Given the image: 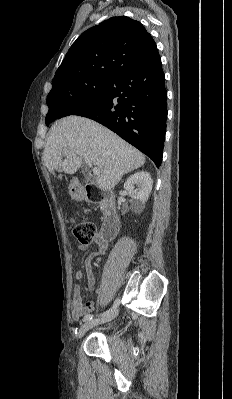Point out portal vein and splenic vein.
Here are the masks:
<instances>
[{"instance_id":"obj_1","label":"portal vein and splenic vein","mask_w":232,"mask_h":399,"mask_svg":"<svg viewBox=\"0 0 232 399\" xmlns=\"http://www.w3.org/2000/svg\"><path fill=\"white\" fill-rule=\"evenodd\" d=\"M64 154H66V152H64ZM83 162H85L87 166H92V162H90V160H83ZM93 174L94 176H98V174H100V170H98V168H93Z\"/></svg>"}]
</instances>
